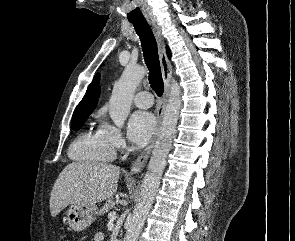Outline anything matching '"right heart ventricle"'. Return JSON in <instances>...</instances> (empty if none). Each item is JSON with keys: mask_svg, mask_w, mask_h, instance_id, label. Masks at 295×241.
Masks as SVG:
<instances>
[{"mask_svg": "<svg viewBox=\"0 0 295 241\" xmlns=\"http://www.w3.org/2000/svg\"><path fill=\"white\" fill-rule=\"evenodd\" d=\"M70 157L78 162L104 163L115 155L106 132L100 126L96 130H85L74 140L69 151Z\"/></svg>", "mask_w": 295, "mask_h": 241, "instance_id": "obj_1", "label": "right heart ventricle"}]
</instances>
